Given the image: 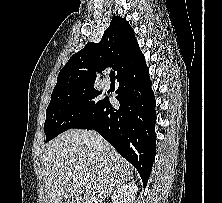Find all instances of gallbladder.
Masks as SVG:
<instances>
[{
	"label": "gallbladder",
	"instance_id": "bac80fb5",
	"mask_svg": "<svg viewBox=\"0 0 222 203\" xmlns=\"http://www.w3.org/2000/svg\"><path fill=\"white\" fill-rule=\"evenodd\" d=\"M61 203H79L77 199H65Z\"/></svg>",
	"mask_w": 222,
	"mask_h": 203
}]
</instances>
